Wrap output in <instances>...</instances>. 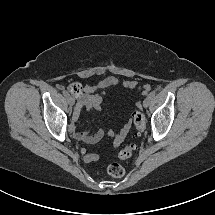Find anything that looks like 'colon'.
I'll return each instance as SVG.
<instances>
[{"instance_id": "colon-1", "label": "colon", "mask_w": 215, "mask_h": 215, "mask_svg": "<svg viewBox=\"0 0 215 215\" xmlns=\"http://www.w3.org/2000/svg\"><path fill=\"white\" fill-rule=\"evenodd\" d=\"M69 90L76 95L80 92L81 86L77 83H73L69 86ZM133 121L136 132L142 133L145 129V119L143 114L139 111L134 112ZM135 149H136L135 144L132 143L127 144L116 154V157L120 160L128 159L133 155ZM107 171L109 175L116 178L122 177L125 173L123 166L118 162H112L108 166Z\"/></svg>"}]
</instances>
